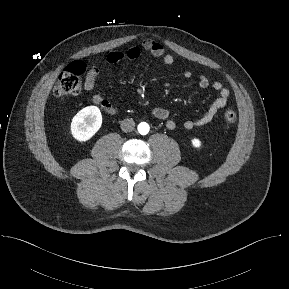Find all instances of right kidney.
I'll return each mask as SVG.
<instances>
[{"label": "right kidney", "instance_id": "1", "mask_svg": "<svg viewBox=\"0 0 289 289\" xmlns=\"http://www.w3.org/2000/svg\"><path fill=\"white\" fill-rule=\"evenodd\" d=\"M102 115L97 106H88L80 110L72 119L71 134L80 142L90 140L100 129Z\"/></svg>", "mask_w": 289, "mask_h": 289}]
</instances>
